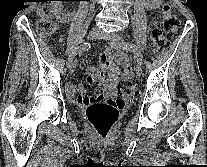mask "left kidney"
Returning a JSON list of instances; mask_svg holds the SVG:
<instances>
[{
	"mask_svg": "<svg viewBox=\"0 0 207 167\" xmlns=\"http://www.w3.org/2000/svg\"><path fill=\"white\" fill-rule=\"evenodd\" d=\"M159 1H161V0H157V2H154V3H150V1H146V2H145V6H146L148 9L157 8V7H159Z\"/></svg>",
	"mask_w": 207,
	"mask_h": 167,
	"instance_id": "1",
	"label": "left kidney"
}]
</instances>
